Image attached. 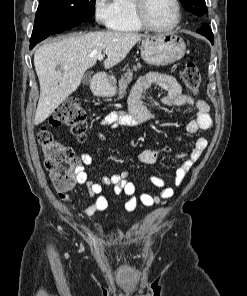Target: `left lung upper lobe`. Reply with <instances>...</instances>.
I'll return each instance as SVG.
<instances>
[{
    "label": "left lung upper lobe",
    "mask_w": 247,
    "mask_h": 296,
    "mask_svg": "<svg viewBox=\"0 0 247 296\" xmlns=\"http://www.w3.org/2000/svg\"><path fill=\"white\" fill-rule=\"evenodd\" d=\"M186 10L196 16H203L207 13L205 0H180Z\"/></svg>",
    "instance_id": "left-lung-upper-lobe-1"
}]
</instances>
